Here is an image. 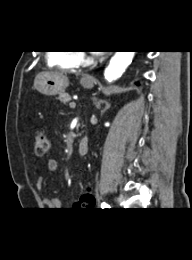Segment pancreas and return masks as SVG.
<instances>
[{
    "instance_id": "cf45deb5",
    "label": "pancreas",
    "mask_w": 192,
    "mask_h": 260,
    "mask_svg": "<svg viewBox=\"0 0 192 260\" xmlns=\"http://www.w3.org/2000/svg\"><path fill=\"white\" fill-rule=\"evenodd\" d=\"M57 99L62 103H66L71 99V97L67 93H61Z\"/></svg>"
}]
</instances>
